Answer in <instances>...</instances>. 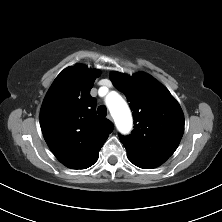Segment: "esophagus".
Listing matches in <instances>:
<instances>
[{"label":"esophagus","instance_id":"obj_1","mask_svg":"<svg viewBox=\"0 0 222 222\" xmlns=\"http://www.w3.org/2000/svg\"><path fill=\"white\" fill-rule=\"evenodd\" d=\"M107 119H108V120H110V121H113V119H112V116H111V115H108V116H107Z\"/></svg>","mask_w":222,"mask_h":222}]
</instances>
